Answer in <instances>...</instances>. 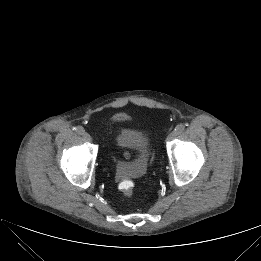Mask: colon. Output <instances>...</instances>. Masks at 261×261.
<instances>
[{"mask_svg":"<svg viewBox=\"0 0 261 261\" xmlns=\"http://www.w3.org/2000/svg\"><path fill=\"white\" fill-rule=\"evenodd\" d=\"M129 137V136H127ZM116 178L118 181V189L120 192L127 198H130L133 195L134 191V182L127 173V171L120 167L117 170Z\"/></svg>","mask_w":261,"mask_h":261,"instance_id":"1","label":"colon"}]
</instances>
